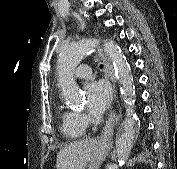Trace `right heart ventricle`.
<instances>
[{
  "label": "right heart ventricle",
  "instance_id": "obj_1",
  "mask_svg": "<svg viewBox=\"0 0 177 169\" xmlns=\"http://www.w3.org/2000/svg\"><path fill=\"white\" fill-rule=\"evenodd\" d=\"M60 130L70 140L80 139L85 134V129L79 122L77 113L68 109L61 111Z\"/></svg>",
  "mask_w": 177,
  "mask_h": 169
}]
</instances>
